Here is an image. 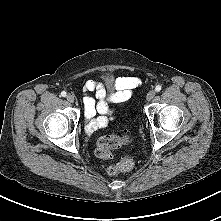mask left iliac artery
Instances as JSON below:
<instances>
[{
  "mask_svg": "<svg viewBox=\"0 0 221 221\" xmlns=\"http://www.w3.org/2000/svg\"><path fill=\"white\" fill-rule=\"evenodd\" d=\"M161 88H162V87H161L160 85H157V86L155 87V91H156V92H159V91L161 90Z\"/></svg>",
  "mask_w": 221,
  "mask_h": 221,
  "instance_id": "44dca946",
  "label": "left iliac artery"
}]
</instances>
